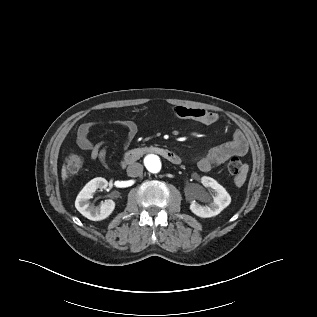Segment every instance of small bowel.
I'll return each instance as SVG.
<instances>
[{
  "instance_id": "small-bowel-1",
  "label": "small bowel",
  "mask_w": 317,
  "mask_h": 317,
  "mask_svg": "<svg viewBox=\"0 0 317 317\" xmlns=\"http://www.w3.org/2000/svg\"><path fill=\"white\" fill-rule=\"evenodd\" d=\"M178 118L192 119L204 125H212L217 122L218 114L197 107L176 106L173 110ZM119 126L127 132V143H129L138 133V127L131 120H122L117 122ZM93 126L90 123L82 124L76 135V143L82 150L88 151L93 161H98L102 166L108 167L106 161L107 145L105 142L94 143L89 135ZM248 141L244 133L235 130L230 142L216 146L210 149L207 154L201 157L197 162V167L202 172H209L214 166L224 163L230 158L244 156L248 152ZM242 181L239 180L238 183Z\"/></svg>"
}]
</instances>
